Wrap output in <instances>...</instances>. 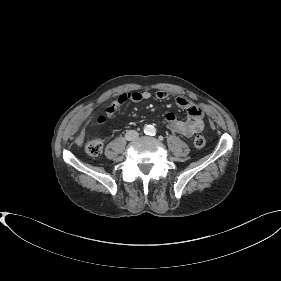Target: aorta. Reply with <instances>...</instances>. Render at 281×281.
<instances>
[{
    "instance_id": "aorta-1",
    "label": "aorta",
    "mask_w": 281,
    "mask_h": 281,
    "mask_svg": "<svg viewBox=\"0 0 281 281\" xmlns=\"http://www.w3.org/2000/svg\"><path fill=\"white\" fill-rule=\"evenodd\" d=\"M154 131H155V129H154V127H153L152 125H147V126L144 128V132H145L146 134H149V135L153 134Z\"/></svg>"
}]
</instances>
